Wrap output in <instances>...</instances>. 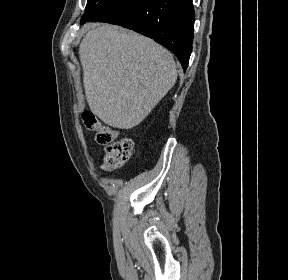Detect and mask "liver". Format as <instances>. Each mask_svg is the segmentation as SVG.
Segmentation results:
<instances>
[{
    "instance_id": "6515ba94",
    "label": "liver",
    "mask_w": 288,
    "mask_h": 280,
    "mask_svg": "<svg viewBox=\"0 0 288 280\" xmlns=\"http://www.w3.org/2000/svg\"><path fill=\"white\" fill-rule=\"evenodd\" d=\"M79 57L91 111L120 129L140 124L177 80L168 50L113 25L92 27L80 44Z\"/></svg>"
}]
</instances>
